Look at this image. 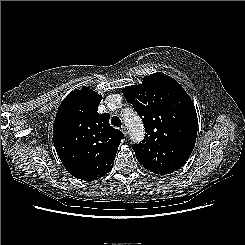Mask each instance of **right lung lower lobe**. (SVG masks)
Listing matches in <instances>:
<instances>
[{"instance_id":"98d812e1","label":"right lung lower lobe","mask_w":245,"mask_h":245,"mask_svg":"<svg viewBox=\"0 0 245 245\" xmlns=\"http://www.w3.org/2000/svg\"><path fill=\"white\" fill-rule=\"evenodd\" d=\"M74 177L78 178V175H76V176H74ZM78 179H80V178H78Z\"/></svg>"}]
</instances>
